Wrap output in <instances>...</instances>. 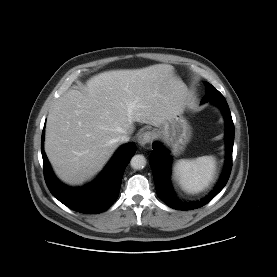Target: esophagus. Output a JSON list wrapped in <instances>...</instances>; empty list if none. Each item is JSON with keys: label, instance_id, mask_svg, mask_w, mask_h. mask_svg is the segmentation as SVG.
<instances>
[{"label": "esophagus", "instance_id": "1", "mask_svg": "<svg viewBox=\"0 0 277 277\" xmlns=\"http://www.w3.org/2000/svg\"><path fill=\"white\" fill-rule=\"evenodd\" d=\"M153 139L152 133L149 131H145L141 133L138 137V143L140 146H145L149 144Z\"/></svg>", "mask_w": 277, "mask_h": 277}]
</instances>
